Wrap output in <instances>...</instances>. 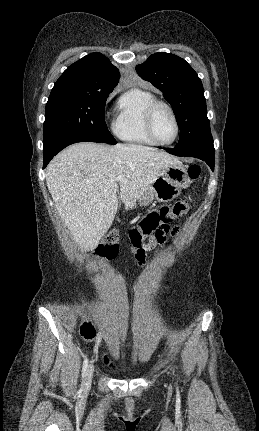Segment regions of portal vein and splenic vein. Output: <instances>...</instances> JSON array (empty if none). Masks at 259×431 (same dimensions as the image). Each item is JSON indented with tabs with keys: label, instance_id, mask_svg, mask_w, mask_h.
I'll use <instances>...</instances> for the list:
<instances>
[{
	"label": "portal vein and splenic vein",
	"instance_id": "18ae733b",
	"mask_svg": "<svg viewBox=\"0 0 259 431\" xmlns=\"http://www.w3.org/2000/svg\"><path fill=\"white\" fill-rule=\"evenodd\" d=\"M123 178H122V176H117L115 179H114V181H121Z\"/></svg>",
	"mask_w": 259,
	"mask_h": 431
}]
</instances>
